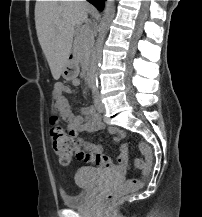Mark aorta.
Here are the masks:
<instances>
[{
  "instance_id": "762f6f07",
  "label": "aorta",
  "mask_w": 202,
  "mask_h": 217,
  "mask_svg": "<svg viewBox=\"0 0 202 217\" xmlns=\"http://www.w3.org/2000/svg\"><path fill=\"white\" fill-rule=\"evenodd\" d=\"M115 3L114 0H107L104 5L103 18L100 25L99 34L91 57L90 75L96 80L97 70L102 57V48L107 34L108 26L114 17Z\"/></svg>"
}]
</instances>
